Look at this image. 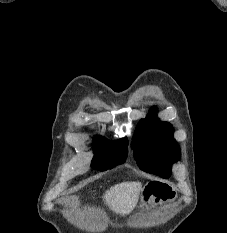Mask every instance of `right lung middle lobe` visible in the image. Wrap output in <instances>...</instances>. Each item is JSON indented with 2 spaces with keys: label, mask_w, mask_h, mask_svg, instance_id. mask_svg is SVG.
<instances>
[{
  "label": "right lung middle lobe",
  "mask_w": 227,
  "mask_h": 233,
  "mask_svg": "<svg viewBox=\"0 0 227 233\" xmlns=\"http://www.w3.org/2000/svg\"><path fill=\"white\" fill-rule=\"evenodd\" d=\"M95 145V155L92 160V167L100 171H105L111 167L125 162L127 157V149L120 141L101 142Z\"/></svg>",
  "instance_id": "obj_1"
}]
</instances>
